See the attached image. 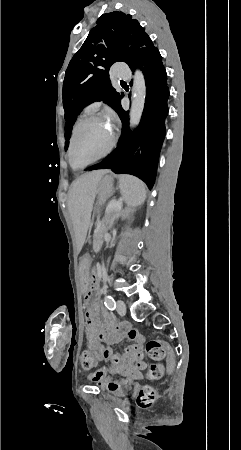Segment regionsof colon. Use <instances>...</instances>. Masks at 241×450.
<instances>
[{
  "label": "colon",
  "mask_w": 241,
  "mask_h": 450,
  "mask_svg": "<svg viewBox=\"0 0 241 450\" xmlns=\"http://www.w3.org/2000/svg\"><path fill=\"white\" fill-rule=\"evenodd\" d=\"M145 353L151 359L155 361H160L165 357L164 367L167 369L170 374L173 366L177 364V351L173 349L170 342L165 341L161 344L160 341L156 339L148 340L145 345ZM81 364L83 371H94L96 359L92 357L91 350H82L81 351ZM163 367L161 364H150L145 370V376L149 380L159 379L162 376ZM157 390L150 387H144L140 389L139 394L136 397V404L140 409H150L156 399H157Z\"/></svg>",
  "instance_id": "obj_1"
}]
</instances>
